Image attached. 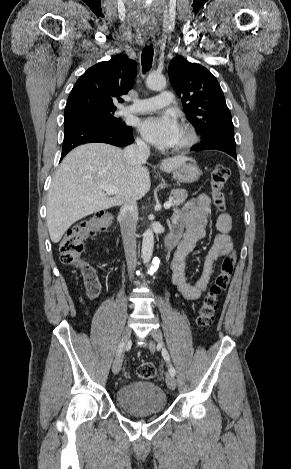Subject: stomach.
I'll return each mask as SVG.
<instances>
[{
  "label": "stomach",
  "instance_id": "1",
  "mask_svg": "<svg viewBox=\"0 0 291 469\" xmlns=\"http://www.w3.org/2000/svg\"><path fill=\"white\" fill-rule=\"evenodd\" d=\"M202 172L194 161L185 162L173 171V177L178 182L192 183L199 179Z\"/></svg>",
  "mask_w": 291,
  "mask_h": 469
}]
</instances>
